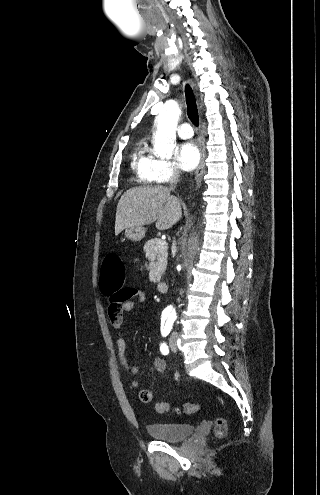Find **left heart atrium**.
I'll list each match as a JSON object with an SVG mask.
<instances>
[{
  "instance_id": "left-heart-atrium-1",
  "label": "left heart atrium",
  "mask_w": 320,
  "mask_h": 495,
  "mask_svg": "<svg viewBox=\"0 0 320 495\" xmlns=\"http://www.w3.org/2000/svg\"><path fill=\"white\" fill-rule=\"evenodd\" d=\"M177 159L182 169L193 170L200 162V152L193 142H185L178 148Z\"/></svg>"
}]
</instances>
